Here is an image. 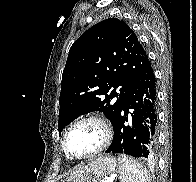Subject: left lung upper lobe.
<instances>
[{"instance_id": "1", "label": "left lung upper lobe", "mask_w": 196, "mask_h": 182, "mask_svg": "<svg viewBox=\"0 0 196 182\" xmlns=\"http://www.w3.org/2000/svg\"><path fill=\"white\" fill-rule=\"evenodd\" d=\"M149 63L124 21L109 18L85 31L71 46L62 74L59 132L92 111L103 112L114 127L126 95Z\"/></svg>"}]
</instances>
